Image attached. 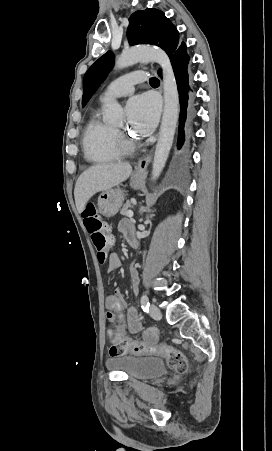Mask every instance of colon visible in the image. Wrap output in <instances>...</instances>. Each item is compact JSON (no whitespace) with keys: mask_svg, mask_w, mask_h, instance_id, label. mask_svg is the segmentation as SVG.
Listing matches in <instances>:
<instances>
[{"mask_svg":"<svg viewBox=\"0 0 272 451\" xmlns=\"http://www.w3.org/2000/svg\"><path fill=\"white\" fill-rule=\"evenodd\" d=\"M84 224L91 235L93 245L96 249V257L100 264L106 263L110 250L109 230H102L103 223L93 206L87 207L83 211ZM107 344L109 345V355L123 356L129 351L139 356L140 354L154 353L167 354L169 366L179 373H184L187 369L184 355L177 351L173 345L154 346L151 342H131L129 338L117 339V333L114 327H107Z\"/></svg>","mask_w":272,"mask_h":451,"instance_id":"1","label":"colon"}]
</instances>
